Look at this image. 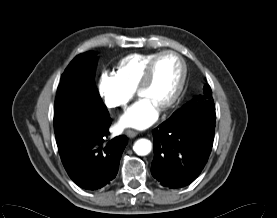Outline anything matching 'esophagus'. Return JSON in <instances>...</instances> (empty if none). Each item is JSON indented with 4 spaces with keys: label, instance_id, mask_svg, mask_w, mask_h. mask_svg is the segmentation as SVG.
<instances>
[{
    "label": "esophagus",
    "instance_id": "esophagus-1",
    "mask_svg": "<svg viewBox=\"0 0 277 218\" xmlns=\"http://www.w3.org/2000/svg\"><path fill=\"white\" fill-rule=\"evenodd\" d=\"M126 135L129 137V138H134V137H136L137 136V132L136 131H133V130H130V129H128V130H126Z\"/></svg>",
    "mask_w": 277,
    "mask_h": 218
}]
</instances>
